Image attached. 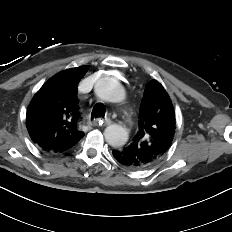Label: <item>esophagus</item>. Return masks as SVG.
Wrapping results in <instances>:
<instances>
[{"label":"esophagus","mask_w":232,"mask_h":232,"mask_svg":"<svg viewBox=\"0 0 232 232\" xmlns=\"http://www.w3.org/2000/svg\"><path fill=\"white\" fill-rule=\"evenodd\" d=\"M112 121L110 119H96L92 122L94 126L100 125V126H107L110 125Z\"/></svg>","instance_id":"34e87169"}]
</instances>
